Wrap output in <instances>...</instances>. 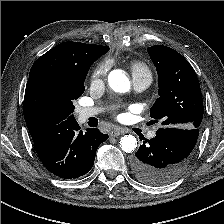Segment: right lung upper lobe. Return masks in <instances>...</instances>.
<instances>
[{
    "label": "right lung upper lobe",
    "mask_w": 224,
    "mask_h": 224,
    "mask_svg": "<svg viewBox=\"0 0 224 224\" xmlns=\"http://www.w3.org/2000/svg\"><path fill=\"white\" fill-rule=\"evenodd\" d=\"M109 47L84 44L78 42L60 43L44 55L39 57L33 64L29 76L44 71L55 70L68 73L91 66L95 60L108 52ZM32 139L48 128L28 127Z\"/></svg>",
    "instance_id": "1"
}]
</instances>
